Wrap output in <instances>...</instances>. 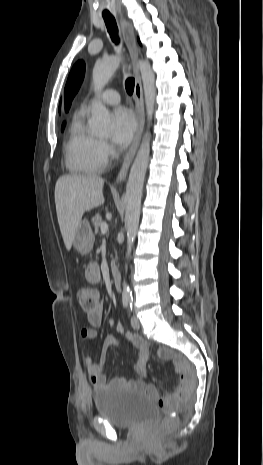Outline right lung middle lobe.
Masks as SVG:
<instances>
[{
    "instance_id": "dd1d6c3e",
    "label": "right lung middle lobe",
    "mask_w": 263,
    "mask_h": 465,
    "mask_svg": "<svg viewBox=\"0 0 263 465\" xmlns=\"http://www.w3.org/2000/svg\"><path fill=\"white\" fill-rule=\"evenodd\" d=\"M64 126H65V123H63V125H62V129L64 128Z\"/></svg>"
}]
</instances>
